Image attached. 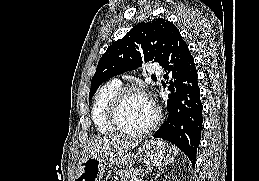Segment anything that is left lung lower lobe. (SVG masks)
Segmentation results:
<instances>
[{"label":"left lung lower lobe","instance_id":"0a47b994","mask_svg":"<svg viewBox=\"0 0 259 181\" xmlns=\"http://www.w3.org/2000/svg\"><path fill=\"white\" fill-rule=\"evenodd\" d=\"M162 67L175 79L168 90L169 116L153 137L175 144L195 164L201 139L202 103L194 59L188 45L179 37Z\"/></svg>","mask_w":259,"mask_h":181}]
</instances>
